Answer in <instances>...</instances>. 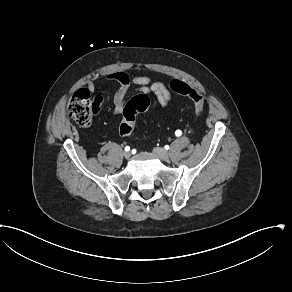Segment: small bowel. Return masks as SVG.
Returning <instances> with one entry per match:
<instances>
[{
	"label": "small bowel",
	"instance_id": "small-bowel-1",
	"mask_svg": "<svg viewBox=\"0 0 292 292\" xmlns=\"http://www.w3.org/2000/svg\"><path fill=\"white\" fill-rule=\"evenodd\" d=\"M105 79L110 83L119 85V89L113 98L114 114L116 116L120 115L124 109L131 85L139 86L138 91L141 94L153 93L156 96L157 104L162 109H166L171 104V93L167 90L165 83L152 81L148 76L130 77L124 72H110L105 75ZM87 87L90 91H94L97 87L96 80H91Z\"/></svg>",
	"mask_w": 292,
	"mask_h": 292
}]
</instances>
